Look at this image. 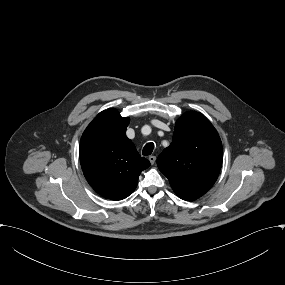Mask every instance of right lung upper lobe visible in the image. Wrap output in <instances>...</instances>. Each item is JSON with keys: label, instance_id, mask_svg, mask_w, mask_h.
<instances>
[{"label": "right lung upper lobe", "instance_id": "cb5924a9", "mask_svg": "<svg viewBox=\"0 0 285 285\" xmlns=\"http://www.w3.org/2000/svg\"><path fill=\"white\" fill-rule=\"evenodd\" d=\"M129 118L114 109L97 115L84 131L80 142V163L85 178L101 196L122 200L136 188L149 160L136 151L126 136Z\"/></svg>", "mask_w": 285, "mask_h": 285}]
</instances>
